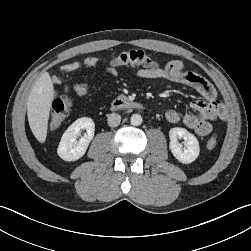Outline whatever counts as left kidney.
<instances>
[{"label": "left kidney", "mask_w": 251, "mask_h": 251, "mask_svg": "<svg viewBox=\"0 0 251 251\" xmlns=\"http://www.w3.org/2000/svg\"><path fill=\"white\" fill-rule=\"evenodd\" d=\"M169 148L173 156L183 164L192 163L199 156L200 148L197 138L184 128L175 127L169 131ZM184 139V146L178 139Z\"/></svg>", "instance_id": "5707ae66"}]
</instances>
